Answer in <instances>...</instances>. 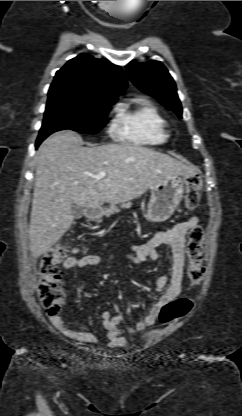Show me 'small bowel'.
I'll return each mask as SVG.
<instances>
[{
	"label": "small bowel",
	"mask_w": 242,
	"mask_h": 416,
	"mask_svg": "<svg viewBox=\"0 0 242 416\" xmlns=\"http://www.w3.org/2000/svg\"><path fill=\"white\" fill-rule=\"evenodd\" d=\"M199 219L192 216L189 219L175 224L167 231H154L150 239L142 244L130 245L124 256L126 260L134 264H142L148 259L159 257L158 248L161 245H168L172 250V267L169 274L161 275L155 282V291L165 290L160 299L152 305L148 314L133 327H128L130 333L142 332L152 326L160 313L161 308L175 300L183 291V272H184V251L186 235L188 231L197 226ZM103 259L97 255H72L64 260L62 268L69 270L72 268L100 267ZM140 299V296H138ZM116 314L112 315L109 311H104L101 315L102 324L108 338V347L122 348L127 344V339L121 334L120 325L125 324L123 315L117 305L114 306ZM51 322L58 331L65 337L79 343H95L99 336L94 332L78 331L72 329L61 316H50Z\"/></svg>",
	"instance_id": "obj_1"
}]
</instances>
